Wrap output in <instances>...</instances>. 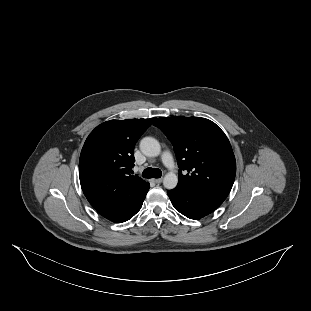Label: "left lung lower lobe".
I'll return each instance as SVG.
<instances>
[{
  "instance_id": "left-lung-lower-lobe-1",
  "label": "left lung lower lobe",
  "mask_w": 311,
  "mask_h": 311,
  "mask_svg": "<svg viewBox=\"0 0 311 311\" xmlns=\"http://www.w3.org/2000/svg\"><path fill=\"white\" fill-rule=\"evenodd\" d=\"M167 194L181 214L194 220H198L216 210L225 199L195 193L183 187L176 186Z\"/></svg>"
}]
</instances>
